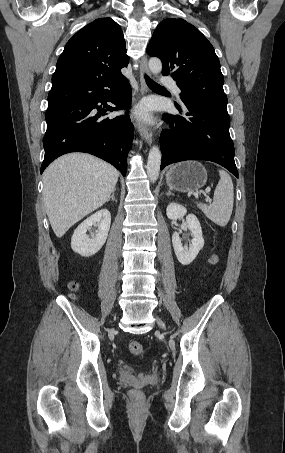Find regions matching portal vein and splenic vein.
Listing matches in <instances>:
<instances>
[{"instance_id":"portal-vein-and-splenic-vein-1","label":"portal vein and splenic vein","mask_w":285,"mask_h":453,"mask_svg":"<svg viewBox=\"0 0 285 453\" xmlns=\"http://www.w3.org/2000/svg\"><path fill=\"white\" fill-rule=\"evenodd\" d=\"M210 190H211V189H210V188L208 187V188L206 189V193H209V192H210ZM206 201H207V202H211V199H210V198H207V200H206Z\"/></svg>"}]
</instances>
